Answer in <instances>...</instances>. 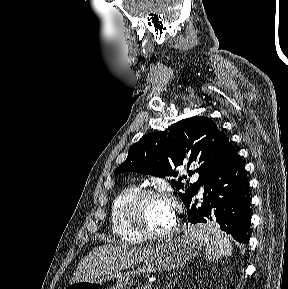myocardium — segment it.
I'll list each match as a JSON object with an SVG mask.
<instances>
[{
  "label": "myocardium",
  "mask_w": 288,
  "mask_h": 289,
  "mask_svg": "<svg viewBox=\"0 0 288 289\" xmlns=\"http://www.w3.org/2000/svg\"><path fill=\"white\" fill-rule=\"evenodd\" d=\"M151 198H158L168 201L174 210V220L172 225L163 231L152 232L143 227L141 219V208L143 203ZM180 208L175 199L165 191L144 188L128 202L125 207V221L128 228L143 240H157L164 239L173 235L178 228Z\"/></svg>",
  "instance_id": "f54148a6"
}]
</instances>
